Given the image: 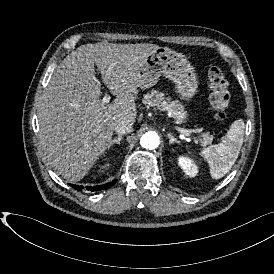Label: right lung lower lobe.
Listing matches in <instances>:
<instances>
[{
    "label": "right lung lower lobe",
    "mask_w": 274,
    "mask_h": 274,
    "mask_svg": "<svg viewBox=\"0 0 274 274\" xmlns=\"http://www.w3.org/2000/svg\"><path fill=\"white\" fill-rule=\"evenodd\" d=\"M115 183H116V180H113L112 182H109V183L104 184V185H98V186H94V187L86 186V189L90 190V191H99V190H103V189L106 190V189L110 188L111 186H113ZM71 186L74 189H77V190L84 189V186H78V185H74V184H72Z\"/></svg>",
    "instance_id": "obj_1"
}]
</instances>
